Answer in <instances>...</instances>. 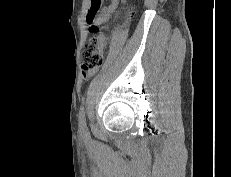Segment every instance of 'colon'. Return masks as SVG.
Wrapping results in <instances>:
<instances>
[{
  "mask_svg": "<svg viewBox=\"0 0 231 177\" xmlns=\"http://www.w3.org/2000/svg\"><path fill=\"white\" fill-rule=\"evenodd\" d=\"M94 13L90 19H94ZM94 31H97L96 26H92ZM103 62V40L100 35L91 36L85 43L82 50V68L84 73L91 72L98 68Z\"/></svg>",
  "mask_w": 231,
  "mask_h": 177,
  "instance_id": "5ec220e1",
  "label": "colon"
}]
</instances>
